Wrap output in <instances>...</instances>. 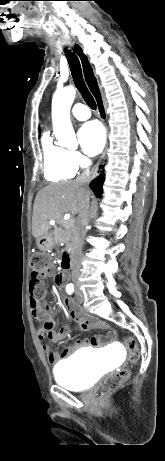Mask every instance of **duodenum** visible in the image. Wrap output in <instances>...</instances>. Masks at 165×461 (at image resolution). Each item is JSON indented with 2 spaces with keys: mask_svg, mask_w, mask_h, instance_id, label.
Here are the masks:
<instances>
[{
  "mask_svg": "<svg viewBox=\"0 0 165 461\" xmlns=\"http://www.w3.org/2000/svg\"><path fill=\"white\" fill-rule=\"evenodd\" d=\"M73 261V256L71 252H65L63 254V263L65 269H70Z\"/></svg>",
  "mask_w": 165,
  "mask_h": 461,
  "instance_id": "obj_1",
  "label": "duodenum"
}]
</instances>
